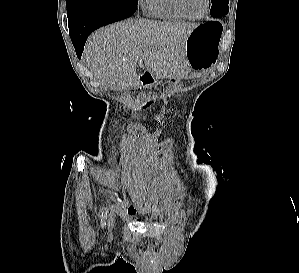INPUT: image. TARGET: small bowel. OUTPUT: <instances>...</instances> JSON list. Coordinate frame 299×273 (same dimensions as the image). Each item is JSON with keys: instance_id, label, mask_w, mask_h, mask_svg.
<instances>
[{"instance_id": "small-bowel-1", "label": "small bowel", "mask_w": 299, "mask_h": 273, "mask_svg": "<svg viewBox=\"0 0 299 273\" xmlns=\"http://www.w3.org/2000/svg\"><path fill=\"white\" fill-rule=\"evenodd\" d=\"M128 213H129L130 215L135 214V207H134V206H129V208H128Z\"/></svg>"}]
</instances>
